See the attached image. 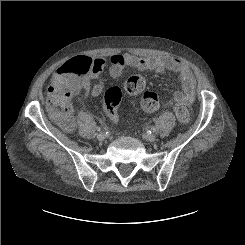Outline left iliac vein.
I'll use <instances>...</instances> for the list:
<instances>
[{"label":"left iliac vein","instance_id":"left-iliac-vein-1","mask_svg":"<svg viewBox=\"0 0 245 245\" xmlns=\"http://www.w3.org/2000/svg\"><path fill=\"white\" fill-rule=\"evenodd\" d=\"M143 138L146 141H150V142H154L156 140V136L155 135H150V134L143 135Z\"/></svg>","mask_w":245,"mask_h":245}]
</instances>
